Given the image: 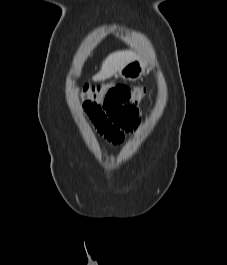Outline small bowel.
<instances>
[{
    "label": "small bowel",
    "instance_id": "c3829d8e",
    "mask_svg": "<svg viewBox=\"0 0 227 265\" xmlns=\"http://www.w3.org/2000/svg\"><path fill=\"white\" fill-rule=\"evenodd\" d=\"M82 107L85 108V112L97 132L107 141L114 145H119L124 141L125 132L114 126V120H110V116H106L101 102H82Z\"/></svg>",
    "mask_w": 227,
    "mask_h": 265
}]
</instances>
